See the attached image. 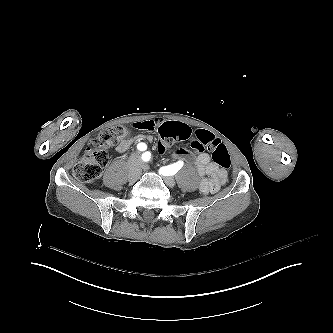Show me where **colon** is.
Returning <instances> with one entry per match:
<instances>
[{"label": "colon", "instance_id": "obj_1", "mask_svg": "<svg viewBox=\"0 0 333 333\" xmlns=\"http://www.w3.org/2000/svg\"><path fill=\"white\" fill-rule=\"evenodd\" d=\"M135 133L133 127L128 126L125 129L122 126L111 127L101 131L86 146L82 157L73 166V175L80 182H92L98 179L103 168L108 163L106 150L112 146L119 148L126 144L128 139ZM198 137V130L194 126L187 124L176 125L173 121H167L159 130V138L155 145V150L159 154H165L169 150L167 140L169 138L177 140L194 141ZM200 152L205 151L208 145L211 149L213 161L223 170L230 169L231 158L225 144L215 139L213 134H202L200 136Z\"/></svg>", "mask_w": 333, "mask_h": 333}]
</instances>
